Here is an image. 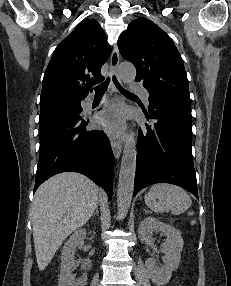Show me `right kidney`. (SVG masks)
Returning a JSON list of instances; mask_svg holds the SVG:
<instances>
[{"instance_id": "right-kidney-1", "label": "right kidney", "mask_w": 231, "mask_h": 286, "mask_svg": "<svg viewBox=\"0 0 231 286\" xmlns=\"http://www.w3.org/2000/svg\"><path fill=\"white\" fill-rule=\"evenodd\" d=\"M86 238V230L80 229L75 231L65 243L60 266L59 286H85L87 283V276L83 275L79 279H75L72 274L74 265L75 253L77 247H82Z\"/></svg>"}]
</instances>
